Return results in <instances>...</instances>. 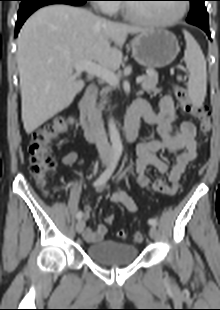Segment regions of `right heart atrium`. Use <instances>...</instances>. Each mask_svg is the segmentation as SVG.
<instances>
[{
  "mask_svg": "<svg viewBox=\"0 0 220 310\" xmlns=\"http://www.w3.org/2000/svg\"><path fill=\"white\" fill-rule=\"evenodd\" d=\"M100 9L106 14H113L118 10L115 0H99Z\"/></svg>",
  "mask_w": 220,
  "mask_h": 310,
  "instance_id": "right-heart-atrium-1",
  "label": "right heart atrium"
}]
</instances>
